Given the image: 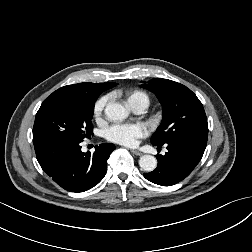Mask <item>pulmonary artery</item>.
I'll return each mask as SVG.
<instances>
[{
  "mask_svg": "<svg viewBox=\"0 0 252 252\" xmlns=\"http://www.w3.org/2000/svg\"><path fill=\"white\" fill-rule=\"evenodd\" d=\"M131 108L136 112V113H142L146 110L147 105L145 103H136L131 105Z\"/></svg>",
  "mask_w": 252,
  "mask_h": 252,
  "instance_id": "pulmonary-artery-1",
  "label": "pulmonary artery"
}]
</instances>
